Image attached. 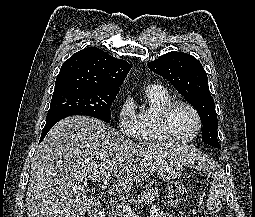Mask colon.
Here are the masks:
<instances>
[{"instance_id": "5ec220e1", "label": "colon", "mask_w": 255, "mask_h": 217, "mask_svg": "<svg viewBox=\"0 0 255 217\" xmlns=\"http://www.w3.org/2000/svg\"><path fill=\"white\" fill-rule=\"evenodd\" d=\"M168 198L173 204L181 203L186 199V190L182 183L175 181L169 185ZM208 206L212 212L218 211L220 208V196L215 188L209 193Z\"/></svg>"}]
</instances>
